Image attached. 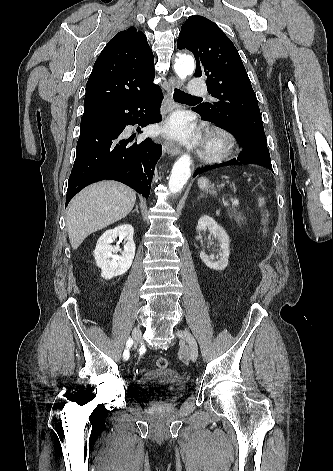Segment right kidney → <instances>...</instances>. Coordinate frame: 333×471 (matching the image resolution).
<instances>
[{
  "label": "right kidney",
  "mask_w": 333,
  "mask_h": 471,
  "mask_svg": "<svg viewBox=\"0 0 333 471\" xmlns=\"http://www.w3.org/2000/svg\"><path fill=\"white\" fill-rule=\"evenodd\" d=\"M134 229L130 224L120 225L114 229L104 232L97 241L94 250L96 265L101 269V276L105 279L122 275L128 271L135 256V243L133 241ZM119 237L121 242L124 239V250L111 243Z\"/></svg>",
  "instance_id": "1"
}]
</instances>
